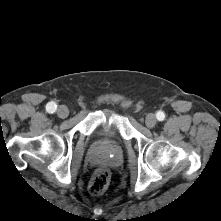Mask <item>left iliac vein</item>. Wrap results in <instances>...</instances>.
Here are the masks:
<instances>
[{
  "instance_id": "obj_1",
  "label": "left iliac vein",
  "mask_w": 221,
  "mask_h": 221,
  "mask_svg": "<svg viewBox=\"0 0 221 221\" xmlns=\"http://www.w3.org/2000/svg\"><path fill=\"white\" fill-rule=\"evenodd\" d=\"M157 123L156 117L153 113H149L145 118V124L148 128H153Z\"/></svg>"
}]
</instances>
